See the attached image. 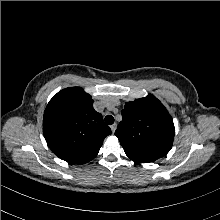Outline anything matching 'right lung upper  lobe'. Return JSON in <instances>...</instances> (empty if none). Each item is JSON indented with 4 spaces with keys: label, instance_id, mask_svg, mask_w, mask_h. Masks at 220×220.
<instances>
[{
    "label": "right lung upper lobe",
    "instance_id": "right-lung-upper-lobe-1",
    "mask_svg": "<svg viewBox=\"0 0 220 220\" xmlns=\"http://www.w3.org/2000/svg\"><path fill=\"white\" fill-rule=\"evenodd\" d=\"M43 132L49 148L60 159L83 164L96 157L111 129L94 110L92 97L81 87H70L48 103Z\"/></svg>",
    "mask_w": 220,
    "mask_h": 220
}]
</instances>
